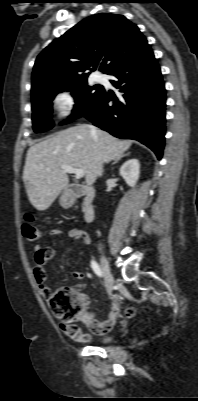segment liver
Returning <instances> with one entry per match:
<instances>
[{
	"label": "liver",
	"instance_id": "obj_1",
	"mask_svg": "<svg viewBox=\"0 0 198 401\" xmlns=\"http://www.w3.org/2000/svg\"><path fill=\"white\" fill-rule=\"evenodd\" d=\"M131 144L132 141L117 139L101 129L93 135L88 125H78L32 145L23 170L31 204L37 210H46L68 187L69 178L62 165L82 169L86 184L91 186L97 177L99 158L102 163L115 160Z\"/></svg>",
	"mask_w": 198,
	"mask_h": 401
}]
</instances>
